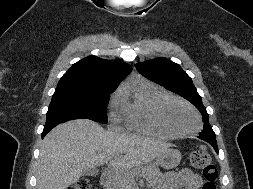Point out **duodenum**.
Listing matches in <instances>:
<instances>
[{
    "label": "duodenum",
    "instance_id": "duodenum-1",
    "mask_svg": "<svg viewBox=\"0 0 253 189\" xmlns=\"http://www.w3.org/2000/svg\"><path fill=\"white\" fill-rule=\"evenodd\" d=\"M113 181V173L111 171H104L101 175V185L105 188H108L111 186Z\"/></svg>",
    "mask_w": 253,
    "mask_h": 189
}]
</instances>
